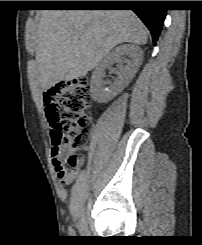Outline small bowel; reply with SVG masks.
Returning <instances> with one entry per match:
<instances>
[{"instance_id": "small-bowel-1", "label": "small bowel", "mask_w": 202, "mask_h": 245, "mask_svg": "<svg viewBox=\"0 0 202 245\" xmlns=\"http://www.w3.org/2000/svg\"><path fill=\"white\" fill-rule=\"evenodd\" d=\"M56 95L57 92L53 87L48 89L43 94V102L46 106V111L49 115V118L54 113ZM66 147V144H62L59 146H51L53 169L55 171L56 177L62 183L63 186L70 185L75 180L79 172V164L75 167H69L66 165L67 157L64 153Z\"/></svg>"}]
</instances>
